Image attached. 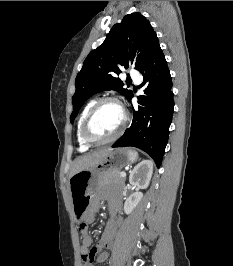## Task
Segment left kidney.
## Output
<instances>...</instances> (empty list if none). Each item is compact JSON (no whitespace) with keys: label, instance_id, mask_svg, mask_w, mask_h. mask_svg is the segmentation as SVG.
<instances>
[{"label":"left kidney","instance_id":"left-kidney-1","mask_svg":"<svg viewBox=\"0 0 233 266\" xmlns=\"http://www.w3.org/2000/svg\"><path fill=\"white\" fill-rule=\"evenodd\" d=\"M153 173V163L150 160H143L134 167L129 176L131 185L138 189H146L149 186ZM143 194L135 192L131 194L124 203V212L130 214L141 201Z\"/></svg>","mask_w":233,"mask_h":266}]
</instances>
